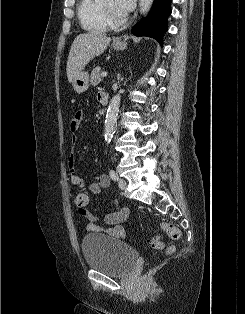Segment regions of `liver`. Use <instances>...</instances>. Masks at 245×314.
Here are the masks:
<instances>
[{"label": "liver", "instance_id": "1", "mask_svg": "<svg viewBox=\"0 0 245 314\" xmlns=\"http://www.w3.org/2000/svg\"><path fill=\"white\" fill-rule=\"evenodd\" d=\"M110 37L89 32L79 34L73 41L67 60V78L70 83L93 58L101 55L108 47Z\"/></svg>", "mask_w": 245, "mask_h": 314}]
</instances>
